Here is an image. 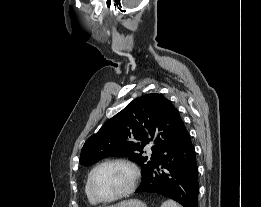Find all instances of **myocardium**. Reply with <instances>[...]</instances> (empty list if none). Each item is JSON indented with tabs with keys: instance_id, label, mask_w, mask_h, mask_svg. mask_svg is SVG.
I'll list each match as a JSON object with an SVG mask.
<instances>
[{
	"instance_id": "obj_1",
	"label": "myocardium",
	"mask_w": 261,
	"mask_h": 207,
	"mask_svg": "<svg viewBox=\"0 0 261 207\" xmlns=\"http://www.w3.org/2000/svg\"><path fill=\"white\" fill-rule=\"evenodd\" d=\"M111 164H120V165H124L127 168H129L132 173L131 182L125 190L118 193L117 195L109 197V198H101L97 195V193L95 192V189H94V176L99 169H101L102 167H104L106 165H111ZM139 178H140L139 169L133 162L126 160V159H109L104 162H101L100 164H98L97 166H95L92 169V171L90 172L89 177H88V189H89L90 195L96 202L111 203V202H114L116 200H119V199L131 194L135 190V188L138 184Z\"/></svg>"
}]
</instances>
